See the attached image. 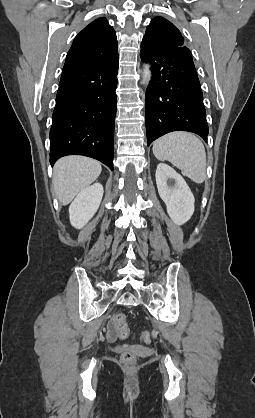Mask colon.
<instances>
[{
    "mask_svg": "<svg viewBox=\"0 0 255 418\" xmlns=\"http://www.w3.org/2000/svg\"><path fill=\"white\" fill-rule=\"evenodd\" d=\"M114 325L120 338H127L130 334V329L127 324L126 316L123 313H117L114 316ZM142 340L145 343L151 341V335L145 331L142 333ZM121 361L125 364L132 365L136 362V355L130 351H126L121 355Z\"/></svg>",
    "mask_w": 255,
    "mask_h": 418,
    "instance_id": "5ec220e1",
    "label": "colon"
}]
</instances>
